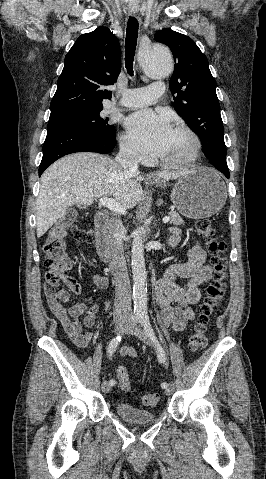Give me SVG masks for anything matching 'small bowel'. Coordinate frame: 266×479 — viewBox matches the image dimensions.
<instances>
[{
  "mask_svg": "<svg viewBox=\"0 0 266 479\" xmlns=\"http://www.w3.org/2000/svg\"><path fill=\"white\" fill-rule=\"evenodd\" d=\"M179 230L174 228L168 239L170 246L179 241ZM206 253L199 244H195L189 251L188 261L169 266L164 276L155 287L156 303L161 310V318L166 326H171L175 332L183 331L195 319L193 306L200 301V285L212 277V268L206 261ZM177 278H186V283H180ZM65 288L48 291L44 288L46 302L51 313L59 320L70 340L80 348H86L96 339L92 332H85L94 326L97 320L98 305L88 306L78 302L70 308L63 303L69 300L71 293L79 295L81 287L70 276H64ZM93 283L100 289L108 286L106 277L95 272L92 275ZM123 356L136 357L137 352L132 347H121Z\"/></svg>",
  "mask_w": 266,
  "mask_h": 479,
  "instance_id": "obj_1",
  "label": "small bowel"
}]
</instances>
